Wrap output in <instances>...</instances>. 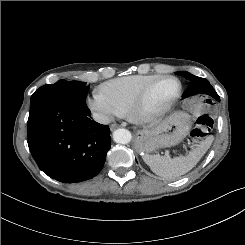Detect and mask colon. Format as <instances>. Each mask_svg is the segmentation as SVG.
<instances>
[{
  "label": "colon",
  "instance_id": "5ec220e1",
  "mask_svg": "<svg viewBox=\"0 0 245 245\" xmlns=\"http://www.w3.org/2000/svg\"><path fill=\"white\" fill-rule=\"evenodd\" d=\"M212 128L213 119L210 114H198L196 124L190 132V138L194 143H198L209 134Z\"/></svg>",
  "mask_w": 245,
  "mask_h": 245
}]
</instances>
